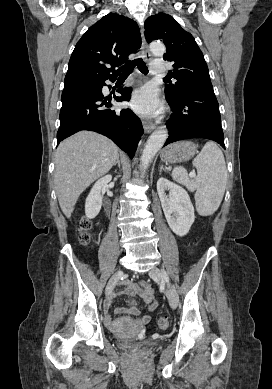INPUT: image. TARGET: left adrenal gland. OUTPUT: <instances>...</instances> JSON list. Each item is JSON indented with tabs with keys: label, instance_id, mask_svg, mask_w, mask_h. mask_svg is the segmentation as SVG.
<instances>
[{
	"label": "left adrenal gland",
	"instance_id": "1",
	"mask_svg": "<svg viewBox=\"0 0 272 389\" xmlns=\"http://www.w3.org/2000/svg\"><path fill=\"white\" fill-rule=\"evenodd\" d=\"M162 170L163 171H167V168H164L163 164H161V167H160V170H159V174H161Z\"/></svg>",
	"mask_w": 272,
	"mask_h": 389
}]
</instances>
